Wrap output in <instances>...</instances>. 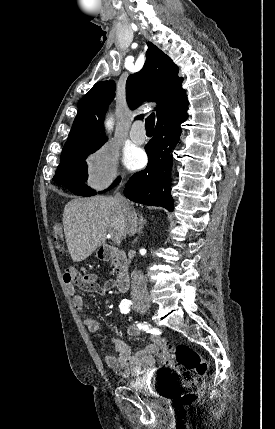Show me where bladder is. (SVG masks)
Masks as SVG:
<instances>
[{"mask_svg": "<svg viewBox=\"0 0 275 429\" xmlns=\"http://www.w3.org/2000/svg\"><path fill=\"white\" fill-rule=\"evenodd\" d=\"M128 385L139 398H152L153 403H174L179 398L176 377L131 378Z\"/></svg>", "mask_w": 275, "mask_h": 429, "instance_id": "obj_1", "label": "bladder"}]
</instances>
